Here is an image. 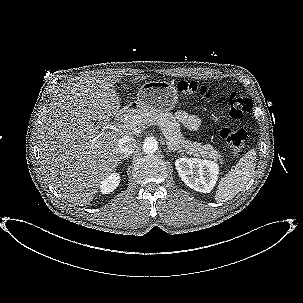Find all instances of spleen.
I'll return each instance as SVG.
<instances>
[{
  "label": "spleen",
  "mask_w": 303,
  "mask_h": 303,
  "mask_svg": "<svg viewBox=\"0 0 303 303\" xmlns=\"http://www.w3.org/2000/svg\"><path fill=\"white\" fill-rule=\"evenodd\" d=\"M255 149L247 152L236 166L226 174L218 184L215 201L218 203L234 198L248 184L256 166Z\"/></svg>",
  "instance_id": "spleen-1"
}]
</instances>
